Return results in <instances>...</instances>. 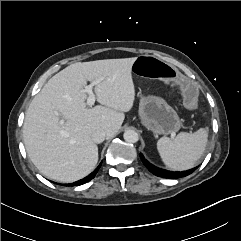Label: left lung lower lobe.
I'll list each match as a JSON object with an SVG mask.
<instances>
[{
    "label": "left lung lower lobe",
    "instance_id": "0a47b994",
    "mask_svg": "<svg viewBox=\"0 0 241 241\" xmlns=\"http://www.w3.org/2000/svg\"><path fill=\"white\" fill-rule=\"evenodd\" d=\"M140 158H141L143 164L147 167V169L151 173H153L156 176L163 177V178L177 179L180 177H185L196 170V168H194V169H190V170L182 171V172L168 171V170H164V169H161V168H158V167L152 165L143 157L142 154H140Z\"/></svg>",
    "mask_w": 241,
    "mask_h": 241
}]
</instances>
